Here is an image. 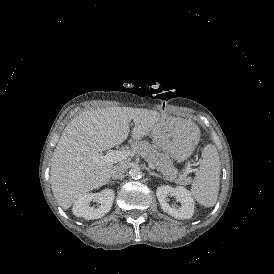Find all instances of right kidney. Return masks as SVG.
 Wrapping results in <instances>:
<instances>
[{
    "label": "right kidney",
    "mask_w": 274,
    "mask_h": 274,
    "mask_svg": "<svg viewBox=\"0 0 274 274\" xmlns=\"http://www.w3.org/2000/svg\"><path fill=\"white\" fill-rule=\"evenodd\" d=\"M115 198L114 191L105 189L99 193H87L79 197L73 204L72 212L77 217H83L86 220L99 219L108 213L112 207ZM94 200L100 204L98 208L89 206Z\"/></svg>",
    "instance_id": "right-kidney-1"
}]
</instances>
